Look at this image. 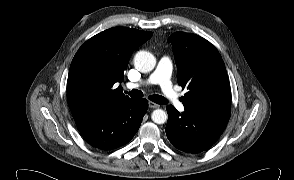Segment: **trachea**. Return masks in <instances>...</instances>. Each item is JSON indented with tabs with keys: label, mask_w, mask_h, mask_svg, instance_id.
I'll use <instances>...</instances> for the list:
<instances>
[{
	"label": "trachea",
	"mask_w": 294,
	"mask_h": 180,
	"mask_svg": "<svg viewBox=\"0 0 294 180\" xmlns=\"http://www.w3.org/2000/svg\"><path fill=\"white\" fill-rule=\"evenodd\" d=\"M130 95L131 98H141L143 97V93L140 90L133 89L131 92H126ZM149 99L157 104H166L167 99L160 95H151Z\"/></svg>",
	"instance_id": "obj_1"
}]
</instances>
